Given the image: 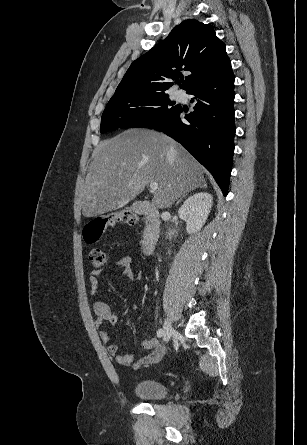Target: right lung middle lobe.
Segmentation results:
<instances>
[{"mask_svg": "<svg viewBox=\"0 0 307 445\" xmlns=\"http://www.w3.org/2000/svg\"><path fill=\"white\" fill-rule=\"evenodd\" d=\"M172 105L174 103L170 102L165 93L111 98L102 114L100 132L125 127H148L179 108V105Z\"/></svg>", "mask_w": 307, "mask_h": 445, "instance_id": "obj_1", "label": "right lung middle lobe"}]
</instances>
